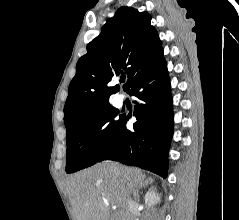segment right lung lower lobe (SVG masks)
Here are the masks:
<instances>
[{"instance_id":"1","label":"right lung lower lobe","mask_w":239,"mask_h":220,"mask_svg":"<svg viewBox=\"0 0 239 220\" xmlns=\"http://www.w3.org/2000/svg\"><path fill=\"white\" fill-rule=\"evenodd\" d=\"M127 93L136 97L134 128H126L131 115H122L113 139L97 162L115 160L166 177L173 135V101L165 60L136 79Z\"/></svg>"}]
</instances>
